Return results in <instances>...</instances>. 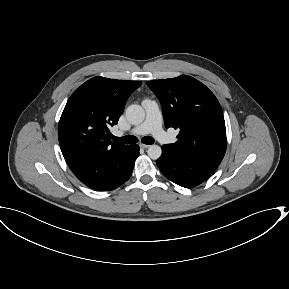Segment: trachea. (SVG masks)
Masks as SVG:
<instances>
[{
    "label": "trachea",
    "mask_w": 289,
    "mask_h": 289,
    "mask_svg": "<svg viewBox=\"0 0 289 289\" xmlns=\"http://www.w3.org/2000/svg\"><path fill=\"white\" fill-rule=\"evenodd\" d=\"M111 139L116 142V143H122V144H135L138 141V138L132 135H127L124 137H116V136H111ZM142 143L144 144H153L154 139L150 136H145L142 138Z\"/></svg>",
    "instance_id": "trachea-1"
}]
</instances>
